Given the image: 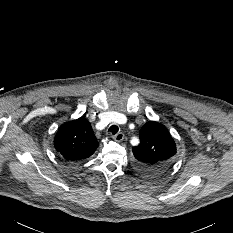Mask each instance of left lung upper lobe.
Masks as SVG:
<instances>
[{
  "mask_svg": "<svg viewBox=\"0 0 233 233\" xmlns=\"http://www.w3.org/2000/svg\"><path fill=\"white\" fill-rule=\"evenodd\" d=\"M140 144L132 148L137 168L148 177L165 173L174 163L176 145L168 130L155 121H148L140 130Z\"/></svg>",
  "mask_w": 233,
  "mask_h": 233,
  "instance_id": "left-lung-upper-lobe-1",
  "label": "left lung upper lobe"
}]
</instances>
